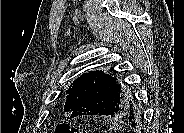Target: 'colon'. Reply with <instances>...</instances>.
Masks as SVG:
<instances>
[{
  "label": "colon",
  "mask_w": 184,
  "mask_h": 133,
  "mask_svg": "<svg viewBox=\"0 0 184 133\" xmlns=\"http://www.w3.org/2000/svg\"><path fill=\"white\" fill-rule=\"evenodd\" d=\"M82 131L67 123H61L55 128V133H81Z\"/></svg>",
  "instance_id": "1"
}]
</instances>
